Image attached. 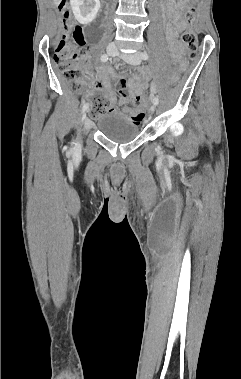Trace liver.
Segmentation results:
<instances>
[{
	"label": "liver",
	"mask_w": 241,
	"mask_h": 379,
	"mask_svg": "<svg viewBox=\"0 0 241 379\" xmlns=\"http://www.w3.org/2000/svg\"><path fill=\"white\" fill-rule=\"evenodd\" d=\"M55 3H56V4H59V3H60V0H55Z\"/></svg>",
	"instance_id": "obj_1"
}]
</instances>
